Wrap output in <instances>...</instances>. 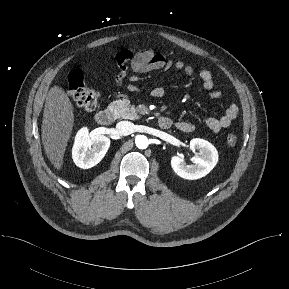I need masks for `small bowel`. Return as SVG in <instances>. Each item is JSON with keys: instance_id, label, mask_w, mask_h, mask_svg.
I'll return each mask as SVG.
<instances>
[{"instance_id": "obj_1", "label": "small bowel", "mask_w": 289, "mask_h": 289, "mask_svg": "<svg viewBox=\"0 0 289 289\" xmlns=\"http://www.w3.org/2000/svg\"><path fill=\"white\" fill-rule=\"evenodd\" d=\"M116 63L118 72L114 79L115 84L121 87L125 79L128 78L130 81L128 90L131 92L139 89L135 84L139 80V77L137 75L128 77L129 68L139 74L149 73L155 70H168L171 68H174L180 74L187 77H192L195 74V70L191 65L183 61L168 60L164 55L156 53L150 48L137 51L132 49L122 50L116 55ZM198 78L202 82L203 89L211 99L217 100L222 97V92L215 88L213 75L209 70H201L198 73ZM164 94L165 89L163 87H155L151 91V95L155 98H160ZM238 113L239 107L233 103L226 109L223 115L219 117H209L205 119L204 124L210 131L217 133L229 127ZM175 126L182 132H191L194 130V125L186 121H177Z\"/></svg>"}]
</instances>
